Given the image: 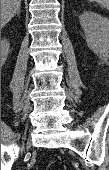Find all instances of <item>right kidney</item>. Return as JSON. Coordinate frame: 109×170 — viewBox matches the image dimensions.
Here are the masks:
<instances>
[{
	"label": "right kidney",
	"instance_id": "obj_1",
	"mask_svg": "<svg viewBox=\"0 0 109 170\" xmlns=\"http://www.w3.org/2000/svg\"><path fill=\"white\" fill-rule=\"evenodd\" d=\"M9 50H10V44H9V41L7 40H2L1 41V61L2 63L4 64L6 59H7V56L9 54Z\"/></svg>",
	"mask_w": 109,
	"mask_h": 170
}]
</instances>
